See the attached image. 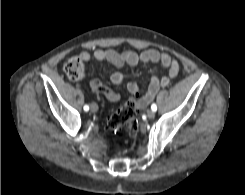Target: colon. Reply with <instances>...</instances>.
Returning <instances> with one entry per match:
<instances>
[{"label":"colon","mask_w":245,"mask_h":195,"mask_svg":"<svg viewBox=\"0 0 245 195\" xmlns=\"http://www.w3.org/2000/svg\"><path fill=\"white\" fill-rule=\"evenodd\" d=\"M64 72L70 80L79 81L85 75V68L78 57H73L65 63ZM137 114L138 99L135 97L127 101L106 119V128L111 131H116L124 127L133 132L138 126Z\"/></svg>","instance_id":"1"}]
</instances>
